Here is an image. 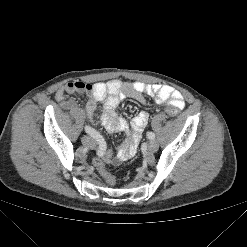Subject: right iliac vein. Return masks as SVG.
Wrapping results in <instances>:
<instances>
[{"label": "right iliac vein", "mask_w": 247, "mask_h": 247, "mask_svg": "<svg viewBox=\"0 0 247 247\" xmlns=\"http://www.w3.org/2000/svg\"><path fill=\"white\" fill-rule=\"evenodd\" d=\"M81 141H82V144L84 146H87V147H90V148H93L94 145H95L94 140L90 136H87V135L83 136L81 138Z\"/></svg>", "instance_id": "1"}]
</instances>
